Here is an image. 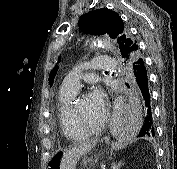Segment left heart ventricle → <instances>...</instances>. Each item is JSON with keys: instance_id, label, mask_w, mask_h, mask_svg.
I'll use <instances>...</instances> for the list:
<instances>
[{"instance_id": "obj_1", "label": "left heart ventricle", "mask_w": 177, "mask_h": 169, "mask_svg": "<svg viewBox=\"0 0 177 169\" xmlns=\"http://www.w3.org/2000/svg\"><path fill=\"white\" fill-rule=\"evenodd\" d=\"M79 114L88 125H98L103 117L105 110L98 108L90 99L89 95L81 97L77 103Z\"/></svg>"}]
</instances>
